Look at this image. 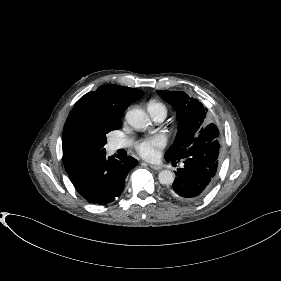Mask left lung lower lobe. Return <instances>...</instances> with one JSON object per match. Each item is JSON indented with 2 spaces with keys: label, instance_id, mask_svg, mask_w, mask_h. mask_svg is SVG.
Here are the masks:
<instances>
[{
  "label": "left lung lower lobe",
  "instance_id": "1",
  "mask_svg": "<svg viewBox=\"0 0 281 281\" xmlns=\"http://www.w3.org/2000/svg\"><path fill=\"white\" fill-rule=\"evenodd\" d=\"M220 150L219 140L192 145L182 158L184 167L175 171L172 194L184 202H194L203 197L211 188L217 172Z\"/></svg>",
  "mask_w": 281,
  "mask_h": 281
}]
</instances>
